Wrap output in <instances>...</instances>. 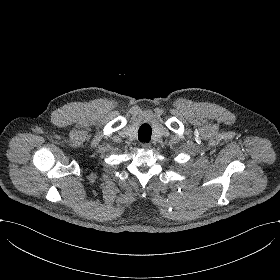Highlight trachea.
Returning <instances> with one entry per match:
<instances>
[{"label":"trachea","mask_w":280,"mask_h":280,"mask_svg":"<svg viewBox=\"0 0 280 280\" xmlns=\"http://www.w3.org/2000/svg\"><path fill=\"white\" fill-rule=\"evenodd\" d=\"M152 130L148 124H143L138 131V137L141 142L148 143L151 139Z\"/></svg>","instance_id":"trachea-1"}]
</instances>
